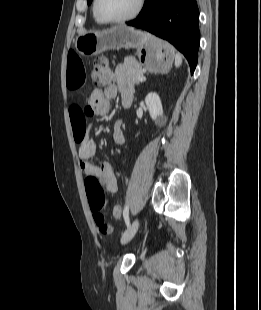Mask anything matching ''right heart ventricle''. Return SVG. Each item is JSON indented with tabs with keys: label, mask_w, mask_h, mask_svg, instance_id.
<instances>
[{
	"label": "right heart ventricle",
	"mask_w": 261,
	"mask_h": 310,
	"mask_svg": "<svg viewBox=\"0 0 261 310\" xmlns=\"http://www.w3.org/2000/svg\"><path fill=\"white\" fill-rule=\"evenodd\" d=\"M93 16H94V19H95V21H96L97 23L102 24V22L95 16L94 12H93Z\"/></svg>",
	"instance_id": "1"
}]
</instances>
